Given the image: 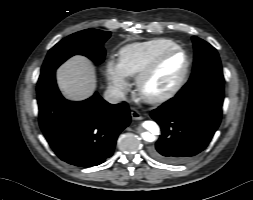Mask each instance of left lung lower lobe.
<instances>
[{
	"label": "left lung lower lobe",
	"instance_id": "0a47b994",
	"mask_svg": "<svg viewBox=\"0 0 253 200\" xmlns=\"http://www.w3.org/2000/svg\"><path fill=\"white\" fill-rule=\"evenodd\" d=\"M224 85L204 82L190 92H178L150 113L162 134L150 149L162 162L177 164L200 153L211 141L222 115Z\"/></svg>",
	"mask_w": 253,
	"mask_h": 200
}]
</instances>
